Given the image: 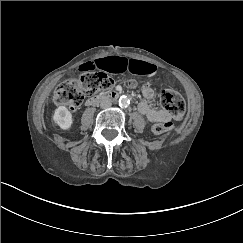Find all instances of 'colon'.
Returning a JSON list of instances; mask_svg holds the SVG:
<instances>
[{
  "mask_svg": "<svg viewBox=\"0 0 243 243\" xmlns=\"http://www.w3.org/2000/svg\"><path fill=\"white\" fill-rule=\"evenodd\" d=\"M135 86V82H130ZM113 86V80L104 73L83 72L77 78L68 79L58 85L54 92V102L59 106H68L71 109L78 108L86 94L107 92ZM162 107L175 119H181L185 112V101L183 97L174 90H164L160 96ZM171 121L157 122L152 126L156 135L171 131Z\"/></svg>",
  "mask_w": 243,
  "mask_h": 243,
  "instance_id": "obj_1",
  "label": "colon"
}]
</instances>
